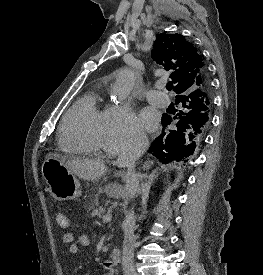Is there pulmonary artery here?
<instances>
[{"instance_id":"pulmonary-artery-1","label":"pulmonary artery","mask_w":263,"mask_h":275,"mask_svg":"<svg viewBox=\"0 0 263 275\" xmlns=\"http://www.w3.org/2000/svg\"><path fill=\"white\" fill-rule=\"evenodd\" d=\"M161 85H157L154 89L147 92L148 101L158 107H165L169 104V98L167 94L161 91Z\"/></svg>"}]
</instances>
